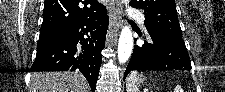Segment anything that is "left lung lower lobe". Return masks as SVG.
Segmentation results:
<instances>
[{"label": "left lung lower lobe", "mask_w": 225, "mask_h": 92, "mask_svg": "<svg viewBox=\"0 0 225 92\" xmlns=\"http://www.w3.org/2000/svg\"><path fill=\"white\" fill-rule=\"evenodd\" d=\"M152 39L135 45L124 79L132 70H190V58L182 37L167 30L147 29Z\"/></svg>", "instance_id": "left-lung-lower-lobe-1"}]
</instances>
